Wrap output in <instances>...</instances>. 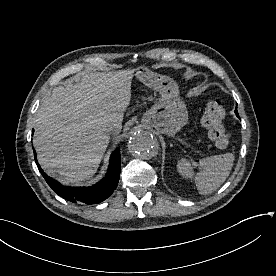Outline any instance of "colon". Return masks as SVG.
Masks as SVG:
<instances>
[{"label":"colon","instance_id":"colon-1","mask_svg":"<svg viewBox=\"0 0 276 276\" xmlns=\"http://www.w3.org/2000/svg\"><path fill=\"white\" fill-rule=\"evenodd\" d=\"M225 115L226 109L222 99L214 98L207 103L201 118L202 126L218 148H226L230 141L229 134L223 126Z\"/></svg>","mask_w":276,"mask_h":276}]
</instances>
